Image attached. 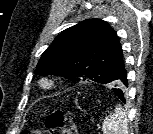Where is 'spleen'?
Returning a JSON list of instances; mask_svg holds the SVG:
<instances>
[{"label": "spleen", "mask_w": 153, "mask_h": 134, "mask_svg": "<svg viewBox=\"0 0 153 134\" xmlns=\"http://www.w3.org/2000/svg\"><path fill=\"white\" fill-rule=\"evenodd\" d=\"M103 134H128L126 112L120 105L116 106L102 124Z\"/></svg>", "instance_id": "obj_1"}]
</instances>
